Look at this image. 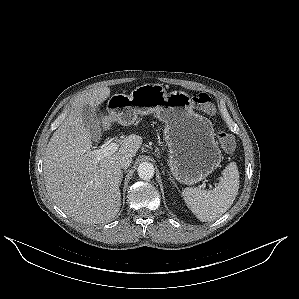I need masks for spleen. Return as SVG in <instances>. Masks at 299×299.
<instances>
[{
  "instance_id": "3e777b00",
  "label": "spleen",
  "mask_w": 299,
  "mask_h": 299,
  "mask_svg": "<svg viewBox=\"0 0 299 299\" xmlns=\"http://www.w3.org/2000/svg\"><path fill=\"white\" fill-rule=\"evenodd\" d=\"M239 182L236 163L231 162L223 170L222 177L213 190L188 187L182 191V197L199 220L214 221L233 204L238 194Z\"/></svg>"
}]
</instances>
